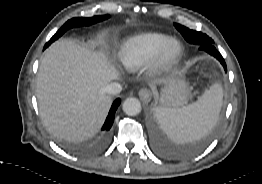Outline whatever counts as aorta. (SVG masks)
Wrapping results in <instances>:
<instances>
[{"mask_svg":"<svg viewBox=\"0 0 262 184\" xmlns=\"http://www.w3.org/2000/svg\"><path fill=\"white\" fill-rule=\"evenodd\" d=\"M122 109L129 116H136L141 112V103L135 97H129L123 102Z\"/></svg>","mask_w":262,"mask_h":184,"instance_id":"aorta-1","label":"aorta"}]
</instances>
